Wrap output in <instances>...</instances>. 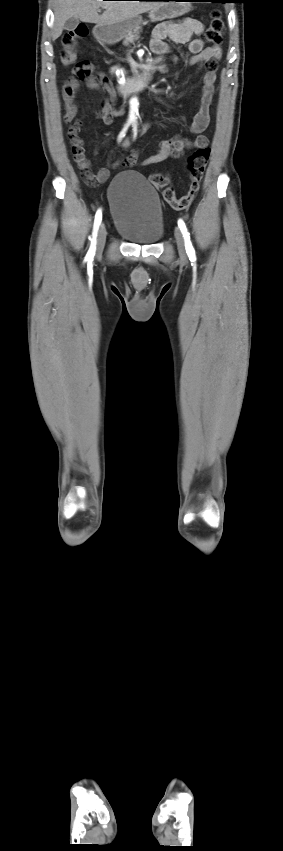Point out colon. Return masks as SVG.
<instances>
[{
    "instance_id": "colon-1",
    "label": "colon",
    "mask_w": 283,
    "mask_h": 851,
    "mask_svg": "<svg viewBox=\"0 0 283 851\" xmlns=\"http://www.w3.org/2000/svg\"><path fill=\"white\" fill-rule=\"evenodd\" d=\"M225 31V26L218 10L211 13V23L208 29L203 34V40L209 43L218 44L222 40ZM88 29L85 25H79L75 29L65 33L61 40L60 59L64 65H71L77 58V43L81 38L86 37ZM210 156L208 147L198 148L187 159V170L189 173V189L180 198H176L173 187L171 186L170 178L164 173H156L151 176L152 184L162 193L163 198L175 210H184L192 204L200 186L203 173L207 166Z\"/></svg>"
}]
</instances>
